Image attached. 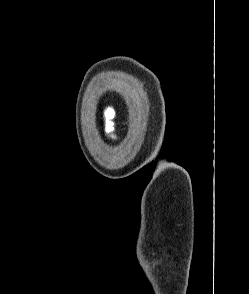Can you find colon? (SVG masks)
<instances>
[{
  "label": "colon",
  "mask_w": 249,
  "mask_h": 294,
  "mask_svg": "<svg viewBox=\"0 0 249 294\" xmlns=\"http://www.w3.org/2000/svg\"><path fill=\"white\" fill-rule=\"evenodd\" d=\"M103 116L105 121V129L106 131H109L111 127V109L107 107L103 112Z\"/></svg>",
  "instance_id": "colon-1"
}]
</instances>
